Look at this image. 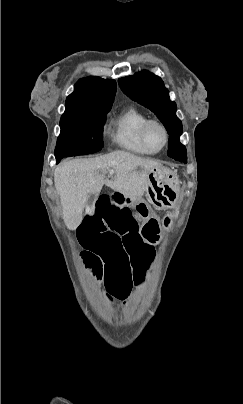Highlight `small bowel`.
<instances>
[{"label":"small bowel","instance_id":"1","mask_svg":"<svg viewBox=\"0 0 243 404\" xmlns=\"http://www.w3.org/2000/svg\"><path fill=\"white\" fill-rule=\"evenodd\" d=\"M78 238L84 248L81 259L103 281L107 295L118 300L142 283L155 257L139 232L136 215L113 194L101 195L89 208Z\"/></svg>","mask_w":243,"mask_h":404}]
</instances>
